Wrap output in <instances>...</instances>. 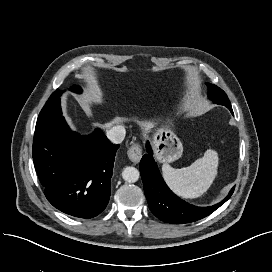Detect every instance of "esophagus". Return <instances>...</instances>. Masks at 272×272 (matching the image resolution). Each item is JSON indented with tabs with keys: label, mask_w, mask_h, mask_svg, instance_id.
<instances>
[{
	"label": "esophagus",
	"mask_w": 272,
	"mask_h": 272,
	"mask_svg": "<svg viewBox=\"0 0 272 272\" xmlns=\"http://www.w3.org/2000/svg\"><path fill=\"white\" fill-rule=\"evenodd\" d=\"M127 154L132 162L138 163L142 157V149L139 144L135 143L129 148Z\"/></svg>",
	"instance_id": "obj_1"
}]
</instances>
